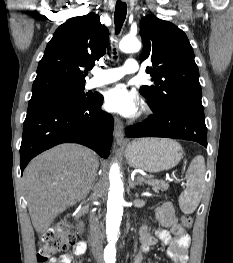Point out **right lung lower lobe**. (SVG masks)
Here are the masks:
<instances>
[{
    "label": "right lung lower lobe",
    "instance_id": "right-lung-lower-lobe-1",
    "mask_svg": "<svg viewBox=\"0 0 233 263\" xmlns=\"http://www.w3.org/2000/svg\"><path fill=\"white\" fill-rule=\"evenodd\" d=\"M103 97L76 106H51L27 112L20 147L21 172L39 153L65 142L83 144L107 158L113 118L101 110Z\"/></svg>",
    "mask_w": 233,
    "mask_h": 263
}]
</instances>
